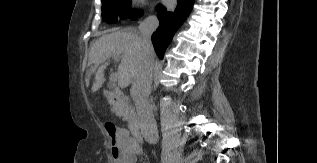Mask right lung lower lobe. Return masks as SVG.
<instances>
[{
  "label": "right lung lower lobe",
  "mask_w": 317,
  "mask_h": 163,
  "mask_svg": "<svg viewBox=\"0 0 317 163\" xmlns=\"http://www.w3.org/2000/svg\"><path fill=\"white\" fill-rule=\"evenodd\" d=\"M194 0H178L174 12H169L162 5L157 6L160 25L153 33L152 42L159 58H163L167 46L170 44L174 33L186 20L192 10Z\"/></svg>",
  "instance_id": "1"
}]
</instances>
